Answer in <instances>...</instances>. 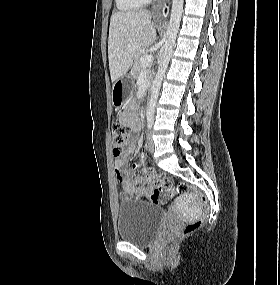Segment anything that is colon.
Wrapping results in <instances>:
<instances>
[{"label": "colon", "instance_id": "1", "mask_svg": "<svg viewBox=\"0 0 280 285\" xmlns=\"http://www.w3.org/2000/svg\"><path fill=\"white\" fill-rule=\"evenodd\" d=\"M112 141L114 145L115 154H119L120 150L125 146L128 138L129 131L126 126L121 124L119 121H115L111 126ZM145 177L150 181L157 192L166 193L170 196H175L181 192L191 191L197 198L199 204L203 208L202 215L194 221L187 223L180 233V237H187L194 233L203 223V218L207 213L209 202L206 195L198 190L195 186L189 184H178L174 185L171 180L163 175L157 174L153 169L147 168L144 171Z\"/></svg>", "mask_w": 280, "mask_h": 285}]
</instances>
